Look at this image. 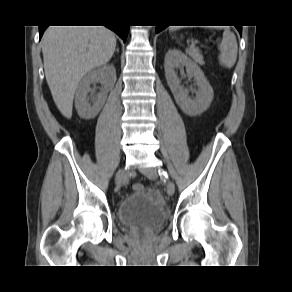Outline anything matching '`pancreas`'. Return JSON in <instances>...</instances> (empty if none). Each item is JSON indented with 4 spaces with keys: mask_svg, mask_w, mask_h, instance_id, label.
<instances>
[{
    "mask_svg": "<svg viewBox=\"0 0 292 292\" xmlns=\"http://www.w3.org/2000/svg\"><path fill=\"white\" fill-rule=\"evenodd\" d=\"M187 53L198 64H204L203 56L198 52V50H187Z\"/></svg>",
    "mask_w": 292,
    "mask_h": 292,
    "instance_id": "pancreas-1",
    "label": "pancreas"
}]
</instances>
